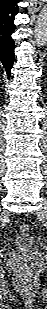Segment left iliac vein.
Masks as SVG:
<instances>
[{"mask_svg":"<svg viewBox=\"0 0 47 309\" xmlns=\"http://www.w3.org/2000/svg\"><path fill=\"white\" fill-rule=\"evenodd\" d=\"M37 214H38L40 217H42V218H44V217L46 216L47 211H46V204H45V202H44V204H43V207L37 212Z\"/></svg>","mask_w":47,"mask_h":309,"instance_id":"1","label":"left iliac vein"}]
</instances>
